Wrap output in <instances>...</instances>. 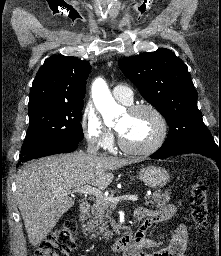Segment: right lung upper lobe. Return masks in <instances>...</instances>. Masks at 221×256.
<instances>
[{"label": "right lung upper lobe", "mask_w": 221, "mask_h": 256, "mask_svg": "<svg viewBox=\"0 0 221 256\" xmlns=\"http://www.w3.org/2000/svg\"><path fill=\"white\" fill-rule=\"evenodd\" d=\"M89 62L54 55L40 67L30 90L28 110L48 105L83 103Z\"/></svg>", "instance_id": "cb5924a9"}]
</instances>
